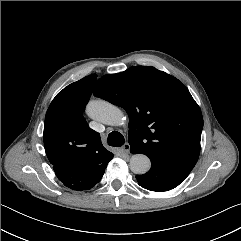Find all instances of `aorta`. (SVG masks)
<instances>
[{"label": "aorta", "instance_id": "1", "mask_svg": "<svg viewBox=\"0 0 241 241\" xmlns=\"http://www.w3.org/2000/svg\"><path fill=\"white\" fill-rule=\"evenodd\" d=\"M86 113L91 119L103 124L121 126L126 123L122 110L104 100L90 101L86 107ZM129 166L133 173L145 174L149 171L151 162L146 155L137 153L132 155Z\"/></svg>", "mask_w": 241, "mask_h": 241}]
</instances>
